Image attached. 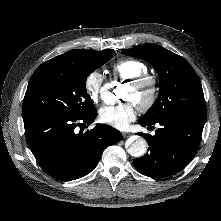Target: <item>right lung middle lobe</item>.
Wrapping results in <instances>:
<instances>
[{
	"mask_svg": "<svg viewBox=\"0 0 221 221\" xmlns=\"http://www.w3.org/2000/svg\"><path fill=\"white\" fill-rule=\"evenodd\" d=\"M113 49L94 51L77 61L48 60L34 74L25 93L22 114L83 117L96 111L86 92L87 77L105 64Z\"/></svg>",
	"mask_w": 221,
	"mask_h": 221,
	"instance_id": "right-lung-middle-lobe-1",
	"label": "right lung middle lobe"
}]
</instances>
